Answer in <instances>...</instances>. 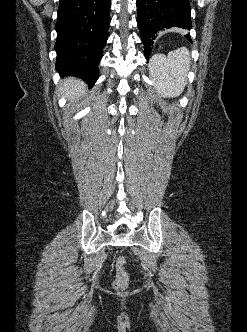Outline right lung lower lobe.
I'll return each instance as SVG.
<instances>
[{"label": "right lung lower lobe", "instance_id": "right-lung-lower-lobe-1", "mask_svg": "<svg viewBox=\"0 0 247 332\" xmlns=\"http://www.w3.org/2000/svg\"><path fill=\"white\" fill-rule=\"evenodd\" d=\"M110 0H60L55 25L56 70L90 86L99 76L98 63L108 39Z\"/></svg>", "mask_w": 247, "mask_h": 332}]
</instances>
